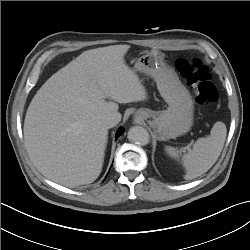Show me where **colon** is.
Listing matches in <instances>:
<instances>
[{
	"label": "colon",
	"instance_id": "5ec220e1",
	"mask_svg": "<svg viewBox=\"0 0 250 250\" xmlns=\"http://www.w3.org/2000/svg\"><path fill=\"white\" fill-rule=\"evenodd\" d=\"M176 67L193 90L198 103L213 104L218 100V93L211 81L209 70L199 60L180 59L177 61Z\"/></svg>",
	"mask_w": 250,
	"mask_h": 250
}]
</instances>
